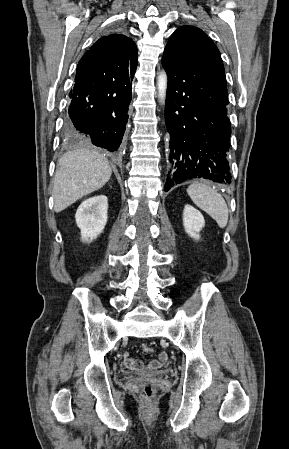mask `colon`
Masks as SVG:
<instances>
[{
    "label": "colon",
    "mask_w": 289,
    "mask_h": 449,
    "mask_svg": "<svg viewBox=\"0 0 289 449\" xmlns=\"http://www.w3.org/2000/svg\"><path fill=\"white\" fill-rule=\"evenodd\" d=\"M142 349L145 353H151L153 351L152 347L148 344H143ZM164 353V352H163ZM162 354V353H161ZM159 359V358H158ZM142 394L145 397H150L153 394V388L151 385H145L142 389Z\"/></svg>",
    "instance_id": "1"
}]
</instances>
